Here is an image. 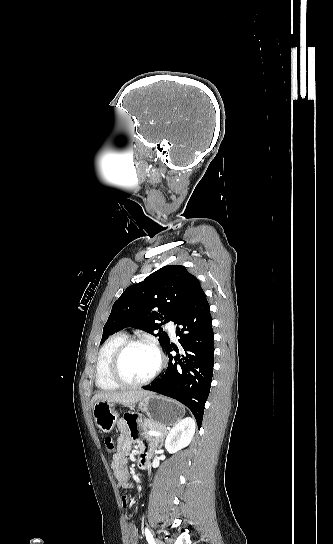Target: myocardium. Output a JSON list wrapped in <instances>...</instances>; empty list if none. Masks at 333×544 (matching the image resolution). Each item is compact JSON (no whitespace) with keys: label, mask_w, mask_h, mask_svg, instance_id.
Segmentation results:
<instances>
[{"label":"myocardium","mask_w":333,"mask_h":544,"mask_svg":"<svg viewBox=\"0 0 333 544\" xmlns=\"http://www.w3.org/2000/svg\"><path fill=\"white\" fill-rule=\"evenodd\" d=\"M136 345H143L150 348L157 357V365L149 377L141 381L132 382L124 378L121 372V362L125 353L131 347ZM164 366H165V357L161 349L158 347V345L154 341L147 338H132V339H127L126 341H124L114 352L110 361V365H109V375L111 379L120 386L128 387V388H137V387L148 385L152 381H154L156 377L161 373Z\"/></svg>","instance_id":"1"}]
</instances>
